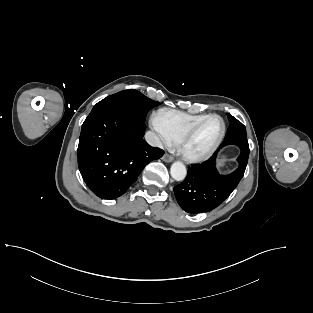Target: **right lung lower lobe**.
<instances>
[{
    "label": "right lung lower lobe",
    "instance_id": "right-lung-lower-lobe-1",
    "mask_svg": "<svg viewBox=\"0 0 313 313\" xmlns=\"http://www.w3.org/2000/svg\"><path fill=\"white\" fill-rule=\"evenodd\" d=\"M145 128L121 111L104 110L86 118L78 166L95 195L108 200L120 197L149 162L163 156V150L142 140Z\"/></svg>",
    "mask_w": 313,
    "mask_h": 313
}]
</instances>
